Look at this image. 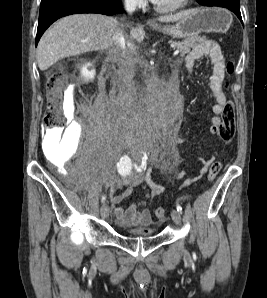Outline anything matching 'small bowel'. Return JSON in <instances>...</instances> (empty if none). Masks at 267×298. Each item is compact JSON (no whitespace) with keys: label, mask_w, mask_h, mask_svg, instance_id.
I'll list each match as a JSON object with an SVG mask.
<instances>
[{"label":"small bowel","mask_w":267,"mask_h":298,"mask_svg":"<svg viewBox=\"0 0 267 298\" xmlns=\"http://www.w3.org/2000/svg\"><path fill=\"white\" fill-rule=\"evenodd\" d=\"M204 57H208L212 63L209 86L215 103L212 107L214 116L211 119L210 132L220 136L221 115L230 103L223 91L225 64L220 46L210 40L201 42L187 55L185 65L187 70L191 72L195 63ZM169 105H171V102ZM199 162L201 164L199 175L188 178L184 182V186L190 185L207 172L211 158H201ZM159 168L165 170V166H160ZM151 171L152 169L148 168L144 175L135 174L126 178H113L107 183V188L110 192V201L114 206V215L121 226L138 228L142 233H148L150 231L148 226L151 224L152 215L146 206V200L155 199L165 192L164 186L153 181ZM142 184L143 188L146 189L145 200L135 202L128 207L119 206L125 198L133 193L135 188ZM123 185L126 186L125 190L121 194H115L116 189Z\"/></svg>","instance_id":"small-bowel-1"}]
</instances>
